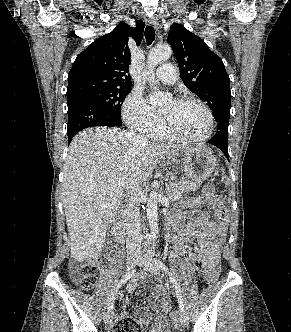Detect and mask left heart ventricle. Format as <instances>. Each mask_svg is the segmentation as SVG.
<instances>
[{
  "label": "left heart ventricle",
  "mask_w": 291,
  "mask_h": 332,
  "mask_svg": "<svg viewBox=\"0 0 291 332\" xmlns=\"http://www.w3.org/2000/svg\"><path fill=\"white\" fill-rule=\"evenodd\" d=\"M161 112L184 135L200 137L208 130V118L204 110L194 102L169 100L161 106Z\"/></svg>",
  "instance_id": "left-heart-ventricle-1"
}]
</instances>
